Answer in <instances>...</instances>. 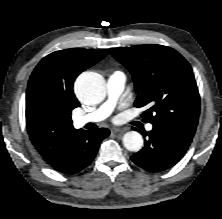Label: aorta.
<instances>
[{"label":"aorta","mask_w":222,"mask_h":219,"mask_svg":"<svg viewBox=\"0 0 222 219\" xmlns=\"http://www.w3.org/2000/svg\"><path fill=\"white\" fill-rule=\"evenodd\" d=\"M75 90L79 98L87 104H97L105 97V82L101 75L95 72H84L76 80ZM124 147L137 152L143 146V138L136 131L127 132L123 136Z\"/></svg>","instance_id":"obj_1"}]
</instances>
